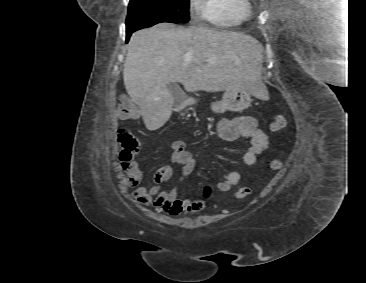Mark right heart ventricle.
<instances>
[{"label": "right heart ventricle", "instance_id": "1", "mask_svg": "<svg viewBox=\"0 0 366 283\" xmlns=\"http://www.w3.org/2000/svg\"><path fill=\"white\" fill-rule=\"evenodd\" d=\"M203 18L221 28H235L252 14L250 0H203Z\"/></svg>", "mask_w": 366, "mask_h": 283}]
</instances>
